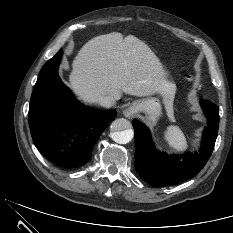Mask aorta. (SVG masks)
<instances>
[{
	"label": "aorta",
	"instance_id": "obj_1",
	"mask_svg": "<svg viewBox=\"0 0 233 233\" xmlns=\"http://www.w3.org/2000/svg\"><path fill=\"white\" fill-rule=\"evenodd\" d=\"M111 131V138L119 144L130 142L134 135L130 122L124 118L114 120L111 124Z\"/></svg>",
	"mask_w": 233,
	"mask_h": 233
}]
</instances>
